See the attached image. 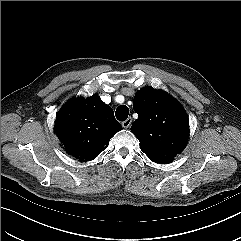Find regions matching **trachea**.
Listing matches in <instances>:
<instances>
[{
  "instance_id": "1",
  "label": "trachea",
  "mask_w": 241,
  "mask_h": 241,
  "mask_svg": "<svg viewBox=\"0 0 241 241\" xmlns=\"http://www.w3.org/2000/svg\"><path fill=\"white\" fill-rule=\"evenodd\" d=\"M129 109L125 105H121L117 108L115 115L119 121H125L128 118Z\"/></svg>"
}]
</instances>
